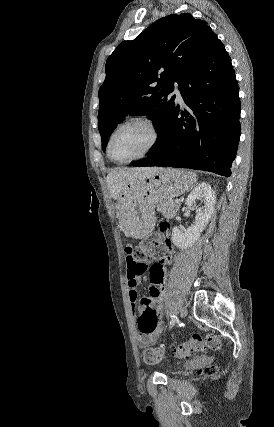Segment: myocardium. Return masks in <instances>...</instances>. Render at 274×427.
I'll return each instance as SVG.
<instances>
[{
    "label": "myocardium",
    "instance_id": "obj_1",
    "mask_svg": "<svg viewBox=\"0 0 274 427\" xmlns=\"http://www.w3.org/2000/svg\"><path fill=\"white\" fill-rule=\"evenodd\" d=\"M133 123H143L145 124L151 131L152 133V140L151 143L148 145V147L141 152L140 154L134 156L133 158L129 159V160H119L117 159L111 150V143H112V139L114 137V135L123 127L133 124ZM161 141V131L158 127V125L156 124V122L153 120V118H151L148 115H136L133 117L128 118L127 120L123 121L122 123L118 124L113 131L111 132V134L109 135L108 141H107V154L108 157L115 163L117 164H129L131 162L143 159L145 157H147L148 155H150L155 148L159 145Z\"/></svg>",
    "mask_w": 274,
    "mask_h": 427
}]
</instances>
